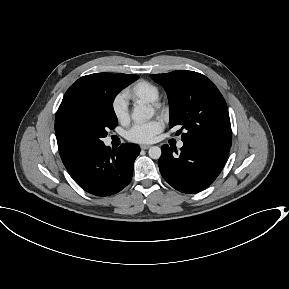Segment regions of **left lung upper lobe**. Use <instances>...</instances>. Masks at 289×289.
<instances>
[{
	"label": "left lung upper lobe",
	"instance_id": "1",
	"mask_svg": "<svg viewBox=\"0 0 289 289\" xmlns=\"http://www.w3.org/2000/svg\"><path fill=\"white\" fill-rule=\"evenodd\" d=\"M167 91L170 102L169 127L185 129L182 141H196L230 148L232 131L228 108L218 88L194 71L151 74Z\"/></svg>",
	"mask_w": 289,
	"mask_h": 289
}]
</instances>
